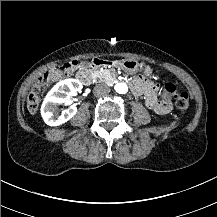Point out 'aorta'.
<instances>
[{
  "instance_id": "1",
  "label": "aorta",
  "mask_w": 217,
  "mask_h": 217,
  "mask_svg": "<svg viewBox=\"0 0 217 217\" xmlns=\"http://www.w3.org/2000/svg\"><path fill=\"white\" fill-rule=\"evenodd\" d=\"M114 89L119 94H125L128 92V86L125 83H117Z\"/></svg>"
}]
</instances>
